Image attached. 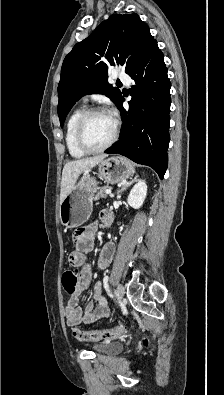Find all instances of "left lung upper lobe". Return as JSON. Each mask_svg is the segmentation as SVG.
<instances>
[{"instance_id": "5c2ea615", "label": "left lung upper lobe", "mask_w": 224, "mask_h": 395, "mask_svg": "<svg viewBox=\"0 0 224 395\" xmlns=\"http://www.w3.org/2000/svg\"><path fill=\"white\" fill-rule=\"evenodd\" d=\"M156 41L137 14H115L103 21L65 57L58 85L61 126L73 105L85 94L100 93L117 106L122 93L107 81L108 68L121 65L128 73Z\"/></svg>"}]
</instances>
